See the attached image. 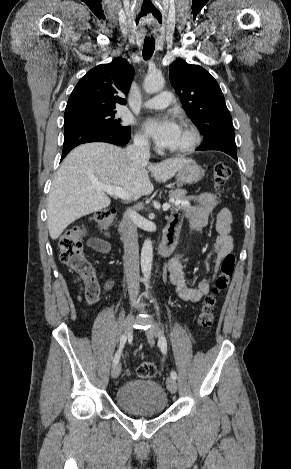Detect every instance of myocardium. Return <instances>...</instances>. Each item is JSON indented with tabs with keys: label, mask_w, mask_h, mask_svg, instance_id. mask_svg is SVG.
Segmentation results:
<instances>
[{
	"label": "myocardium",
	"mask_w": 291,
	"mask_h": 469,
	"mask_svg": "<svg viewBox=\"0 0 291 469\" xmlns=\"http://www.w3.org/2000/svg\"><path fill=\"white\" fill-rule=\"evenodd\" d=\"M181 127L185 128L190 133L191 139L190 142L182 148L169 149V153L174 155H187L193 152L201 143L200 133L192 122L183 120L181 122Z\"/></svg>",
	"instance_id": "myocardium-1"
}]
</instances>
